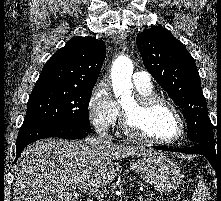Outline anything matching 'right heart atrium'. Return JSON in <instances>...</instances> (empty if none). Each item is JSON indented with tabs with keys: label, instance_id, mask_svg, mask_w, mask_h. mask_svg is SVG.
<instances>
[{
	"label": "right heart atrium",
	"instance_id": "obj_1",
	"mask_svg": "<svg viewBox=\"0 0 221 201\" xmlns=\"http://www.w3.org/2000/svg\"><path fill=\"white\" fill-rule=\"evenodd\" d=\"M119 116V106L109 88L104 84L97 86L88 103V117L94 128L107 132L115 126Z\"/></svg>",
	"mask_w": 221,
	"mask_h": 201
}]
</instances>
